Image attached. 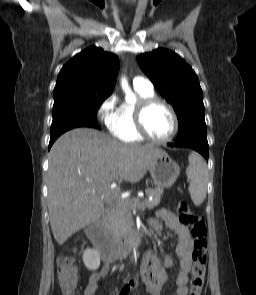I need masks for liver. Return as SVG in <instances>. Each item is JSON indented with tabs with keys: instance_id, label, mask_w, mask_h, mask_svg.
Masks as SVG:
<instances>
[{
	"instance_id": "6515ba94",
	"label": "liver",
	"mask_w": 256,
	"mask_h": 295,
	"mask_svg": "<svg viewBox=\"0 0 256 295\" xmlns=\"http://www.w3.org/2000/svg\"><path fill=\"white\" fill-rule=\"evenodd\" d=\"M164 153L152 145H129L88 128L71 130L49 153L48 210L59 245L97 221L104 211L102 195L116 179L139 182Z\"/></svg>"
}]
</instances>
